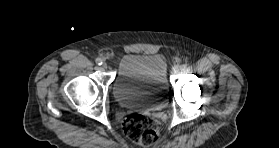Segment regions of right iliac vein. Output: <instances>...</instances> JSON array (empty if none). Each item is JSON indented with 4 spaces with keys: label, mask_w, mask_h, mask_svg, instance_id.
<instances>
[{
    "label": "right iliac vein",
    "mask_w": 279,
    "mask_h": 148,
    "mask_svg": "<svg viewBox=\"0 0 279 148\" xmlns=\"http://www.w3.org/2000/svg\"><path fill=\"white\" fill-rule=\"evenodd\" d=\"M101 68H102V69H107V68H108V65L104 62V63L101 64Z\"/></svg>",
    "instance_id": "63e3f726"
}]
</instances>
